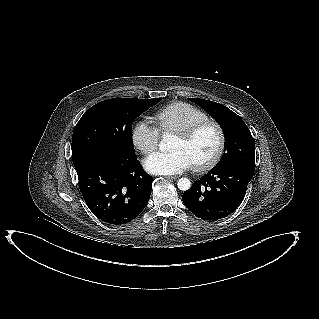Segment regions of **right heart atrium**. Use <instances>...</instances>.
<instances>
[{
	"instance_id": "1",
	"label": "right heart atrium",
	"mask_w": 319,
	"mask_h": 319,
	"mask_svg": "<svg viewBox=\"0 0 319 319\" xmlns=\"http://www.w3.org/2000/svg\"><path fill=\"white\" fill-rule=\"evenodd\" d=\"M134 146L143 154H149L158 145L159 130L146 120H139L132 128Z\"/></svg>"
}]
</instances>
